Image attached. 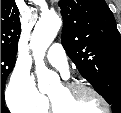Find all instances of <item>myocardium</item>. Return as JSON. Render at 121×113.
I'll use <instances>...</instances> for the list:
<instances>
[{"label":"myocardium","mask_w":121,"mask_h":113,"mask_svg":"<svg viewBox=\"0 0 121 113\" xmlns=\"http://www.w3.org/2000/svg\"><path fill=\"white\" fill-rule=\"evenodd\" d=\"M62 87L64 89H66L69 92H77V93H84V92H88L93 94L103 105H104V113H109L110 112V104L107 101V99L100 94L97 90H95L94 88L82 84V83H78V82H65L63 84H61ZM49 99V104H50V109L53 113H61L56 104L54 103V101L52 100V98L48 97Z\"/></svg>","instance_id":"obj_1"}]
</instances>
